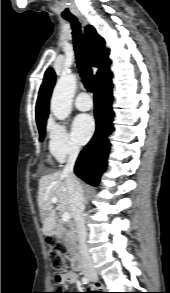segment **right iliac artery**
I'll return each mask as SVG.
<instances>
[{
  "instance_id": "1",
  "label": "right iliac artery",
  "mask_w": 170,
  "mask_h": 293,
  "mask_svg": "<svg viewBox=\"0 0 170 293\" xmlns=\"http://www.w3.org/2000/svg\"><path fill=\"white\" fill-rule=\"evenodd\" d=\"M82 282H83V284H87V283L89 282V280H88V278L83 277V278H82Z\"/></svg>"
}]
</instances>
